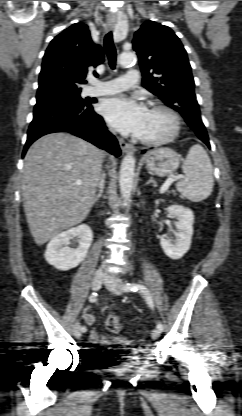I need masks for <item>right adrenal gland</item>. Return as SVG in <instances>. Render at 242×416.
I'll use <instances>...</instances> for the list:
<instances>
[{"mask_svg":"<svg viewBox=\"0 0 242 416\" xmlns=\"http://www.w3.org/2000/svg\"><path fill=\"white\" fill-rule=\"evenodd\" d=\"M102 194H103V187L100 188L98 194L95 196L94 203H96L102 197Z\"/></svg>","mask_w":242,"mask_h":416,"instance_id":"right-adrenal-gland-1","label":"right adrenal gland"}]
</instances>
